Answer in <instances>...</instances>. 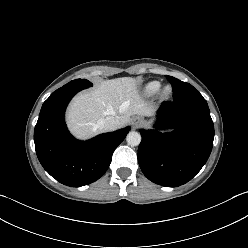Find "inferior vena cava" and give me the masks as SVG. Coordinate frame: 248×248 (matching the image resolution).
<instances>
[{
    "label": "inferior vena cava",
    "mask_w": 248,
    "mask_h": 248,
    "mask_svg": "<svg viewBox=\"0 0 248 248\" xmlns=\"http://www.w3.org/2000/svg\"><path fill=\"white\" fill-rule=\"evenodd\" d=\"M119 120L113 116H107L97 122V126L104 131H114L119 128Z\"/></svg>",
    "instance_id": "1"
}]
</instances>
